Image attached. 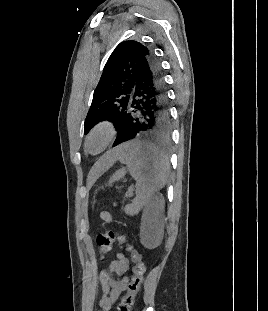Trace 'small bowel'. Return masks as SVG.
Wrapping results in <instances>:
<instances>
[{"label":"small bowel","mask_w":268,"mask_h":311,"mask_svg":"<svg viewBox=\"0 0 268 311\" xmlns=\"http://www.w3.org/2000/svg\"><path fill=\"white\" fill-rule=\"evenodd\" d=\"M102 217L106 221H110L108 214H103ZM130 267L129 259L122 253H118L115 260L110 263L108 271L102 270L99 273L103 292L98 302L101 310L108 311L119 298L120 294L126 290L129 282L128 272L130 271ZM116 276L120 278H116Z\"/></svg>","instance_id":"small-bowel-1"}]
</instances>
